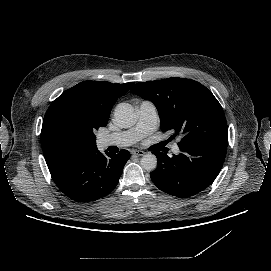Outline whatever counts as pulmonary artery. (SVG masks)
Listing matches in <instances>:
<instances>
[{"mask_svg":"<svg viewBox=\"0 0 271 271\" xmlns=\"http://www.w3.org/2000/svg\"><path fill=\"white\" fill-rule=\"evenodd\" d=\"M159 124L158 111L155 104L148 100L140 102L137 108L136 125L126 131L99 136L96 141L98 149L108 147H126L133 145L154 132ZM175 155L179 154L178 145L172 147Z\"/></svg>","mask_w":271,"mask_h":271,"instance_id":"obj_1","label":"pulmonary artery"}]
</instances>
